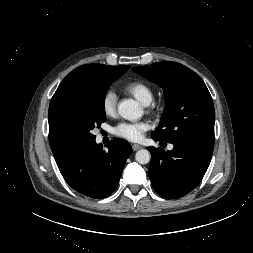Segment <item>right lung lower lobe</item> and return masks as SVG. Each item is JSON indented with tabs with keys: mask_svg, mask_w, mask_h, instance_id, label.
I'll return each instance as SVG.
<instances>
[{
	"mask_svg": "<svg viewBox=\"0 0 253 253\" xmlns=\"http://www.w3.org/2000/svg\"><path fill=\"white\" fill-rule=\"evenodd\" d=\"M131 153L127 141L114 138L108 144V151L92 140L70 146L54 158L71 188L84 196L102 199L116 189Z\"/></svg>",
	"mask_w": 253,
	"mask_h": 253,
	"instance_id": "right-lung-lower-lobe-1",
	"label": "right lung lower lobe"
}]
</instances>
